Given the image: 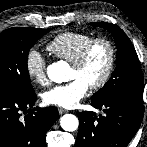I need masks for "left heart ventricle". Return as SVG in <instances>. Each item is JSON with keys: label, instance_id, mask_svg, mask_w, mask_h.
<instances>
[{"label": "left heart ventricle", "instance_id": "1", "mask_svg": "<svg viewBox=\"0 0 147 147\" xmlns=\"http://www.w3.org/2000/svg\"><path fill=\"white\" fill-rule=\"evenodd\" d=\"M109 60L108 48L98 44L91 52L86 64L79 69L71 66L68 79H81L89 86L97 82L104 74Z\"/></svg>", "mask_w": 147, "mask_h": 147}]
</instances>
